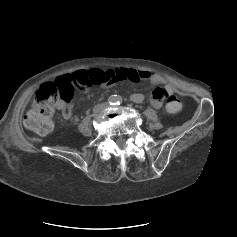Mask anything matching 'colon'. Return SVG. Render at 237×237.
I'll list each match as a JSON object with an SVG mask.
<instances>
[{
	"label": "colon",
	"mask_w": 237,
	"mask_h": 237,
	"mask_svg": "<svg viewBox=\"0 0 237 237\" xmlns=\"http://www.w3.org/2000/svg\"><path fill=\"white\" fill-rule=\"evenodd\" d=\"M105 76L100 70L78 71L72 75L57 78L53 82L40 86L26 114L24 123L27 129L38 134L47 135L53 129V115L59 102H69L74 88L87 90L92 85H101ZM181 101L170 96L165 107L167 114H174L181 108Z\"/></svg>",
	"instance_id": "5ec220e1"
}]
</instances>
